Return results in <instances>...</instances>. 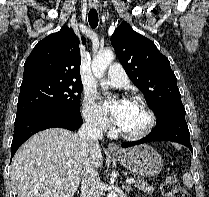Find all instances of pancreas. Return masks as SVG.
Segmentation results:
<instances>
[{"label": "pancreas", "mask_w": 209, "mask_h": 197, "mask_svg": "<svg viewBox=\"0 0 209 197\" xmlns=\"http://www.w3.org/2000/svg\"><path fill=\"white\" fill-rule=\"evenodd\" d=\"M135 187L138 190H141L147 194H151L153 192V187L149 186L143 179L141 178H137L136 183H135Z\"/></svg>", "instance_id": "pancreas-1"}]
</instances>
